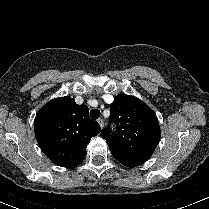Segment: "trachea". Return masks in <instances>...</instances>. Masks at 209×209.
I'll return each mask as SVG.
<instances>
[{"label": "trachea", "instance_id": "3493384b", "mask_svg": "<svg viewBox=\"0 0 209 209\" xmlns=\"http://www.w3.org/2000/svg\"><path fill=\"white\" fill-rule=\"evenodd\" d=\"M100 111L98 110V109H92L91 111H90V116H91V118L92 119H94V120H96V119H98L99 117H100Z\"/></svg>", "mask_w": 209, "mask_h": 209}]
</instances>
